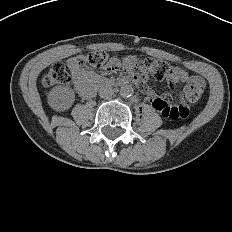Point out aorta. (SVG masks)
Returning a JSON list of instances; mask_svg holds the SVG:
<instances>
[{"mask_svg": "<svg viewBox=\"0 0 232 232\" xmlns=\"http://www.w3.org/2000/svg\"><path fill=\"white\" fill-rule=\"evenodd\" d=\"M133 88L131 85H123L120 88V95L122 97H130L133 95Z\"/></svg>", "mask_w": 232, "mask_h": 232, "instance_id": "aorta-1", "label": "aorta"}]
</instances>
